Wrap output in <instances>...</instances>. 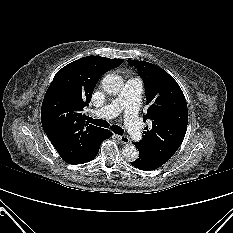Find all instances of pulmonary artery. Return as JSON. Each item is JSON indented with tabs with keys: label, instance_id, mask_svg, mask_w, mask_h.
<instances>
[{
	"label": "pulmonary artery",
	"instance_id": "obj_1",
	"mask_svg": "<svg viewBox=\"0 0 233 233\" xmlns=\"http://www.w3.org/2000/svg\"><path fill=\"white\" fill-rule=\"evenodd\" d=\"M141 91L142 80L139 77L130 78L119 95L109 104L94 111V114L101 118H112L124 111L126 128L131 137L139 141L142 138L138 120Z\"/></svg>",
	"mask_w": 233,
	"mask_h": 233
}]
</instances>
